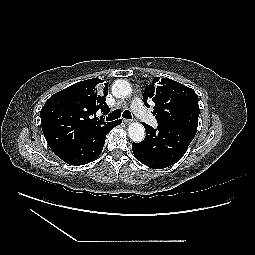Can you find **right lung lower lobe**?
<instances>
[{
	"mask_svg": "<svg viewBox=\"0 0 255 255\" xmlns=\"http://www.w3.org/2000/svg\"><path fill=\"white\" fill-rule=\"evenodd\" d=\"M116 120L106 126L95 128L70 145L59 157L70 165H85L94 161L102 152L108 132L121 124Z\"/></svg>",
	"mask_w": 255,
	"mask_h": 255,
	"instance_id": "98d812e1",
	"label": "right lung lower lobe"
}]
</instances>
